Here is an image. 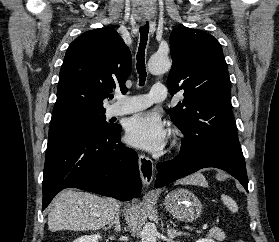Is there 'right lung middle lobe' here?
I'll use <instances>...</instances> for the list:
<instances>
[{
	"label": "right lung middle lobe",
	"mask_w": 279,
	"mask_h": 242,
	"mask_svg": "<svg viewBox=\"0 0 279 242\" xmlns=\"http://www.w3.org/2000/svg\"><path fill=\"white\" fill-rule=\"evenodd\" d=\"M105 111L76 110L52 115L48 147L79 137H96L115 126L106 122Z\"/></svg>",
	"instance_id": "right-lung-middle-lobe-1"
}]
</instances>
